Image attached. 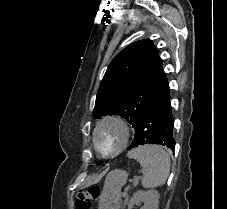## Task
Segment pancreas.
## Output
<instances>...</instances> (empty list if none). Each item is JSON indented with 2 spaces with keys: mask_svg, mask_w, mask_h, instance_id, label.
Wrapping results in <instances>:
<instances>
[{
  "mask_svg": "<svg viewBox=\"0 0 227 209\" xmlns=\"http://www.w3.org/2000/svg\"><path fill=\"white\" fill-rule=\"evenodd\" d=\"M123 202L126 204L128 201L125 199ZM121 209H126V207L122 206Z\"/></svg>",
  "mask_w": 227,
  "mask_h": 209,
  "instance_id": "pancreas-1",
  "label": "pancreas"
}]
</instances>
